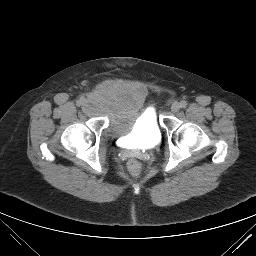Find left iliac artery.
Instances as JSON below:
<instances>
[{
	"mask_svg": "<svg viewBox=\"0 0 256 256\" xmlns=\"http://www.w3.org/2000/svg\"><path fill=\"white\" fill-rule=\"evenodd\" d=\"M186 106H187V102L184 101V100H182V101L180 102V107H181V108H186Z\"/></svg>",
	"mask_w": 256,
	"mask_h": 256,
	"instance_id": "obj_1",
	"label": "left iliac artery"
}]
</instances>
